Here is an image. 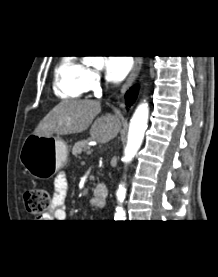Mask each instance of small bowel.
Segmentation results:
<instances>
[{
    "mask_svg": "<svg viewBox=\"0 0 218 277\" xmlns=\"http://www.w3.org/2000/svg\"><path fill=\"white\" fill-rule=\"evenodd\" d=\"M68 181L66 175L61 172L54 180V194L52 198L51 210L42 216V220H55L63 222L66 219V197Z\"/></svg>",
    "mask_w": 218,
    "mask_h": 277,
    "instance_id": "obj_1",
    "label": "small bowel"
}]
</instances>
